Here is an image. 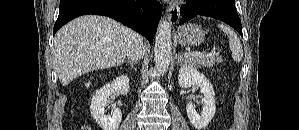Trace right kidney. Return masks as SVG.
Segmentation results:
<instances>
[{
    "label": "right kidney",
    "mask_w": 299,
    "mask_h": 130,
    "mask_svg": "<svg viewBox=\"0 0 299 130\" xmlns=\"http://www.w3.org/2000/svg\"><path fill=\"white\" fill-rule=\"evenodd\" d=\"M129 78L126 75L117 77L111 83L106 84L96 91L91 99L90 113L102 130H117L122 120V113L119 108H112V115H105L107 99L113 92L127 95L129 92Z\"/></svg>",
    "instance_id": "right-kidney-1"
}]
</instances>
